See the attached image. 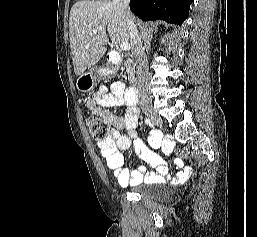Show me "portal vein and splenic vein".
Wrapping results in <instances>:
<instances>
[{
	"label": "portal vein and splenic vein",
	"mask_w": 257,
	"mask_h": 237,
	"mask_svg": "<svg viewBox=\"0 0 257 237\" xmlns=\"http://www.w3.org/2000/svg\"><path fill=\"white\" fill-rule=\"evenodd\" d=\"M97 30H93L92 31V34H97ZM120 48L123 50V51H128L130 50V44L128 42H122L120 44Z\"/></svg>",
	"instance_id": "portal-vein-and-splenic-vein-1"
}]
</instances>
